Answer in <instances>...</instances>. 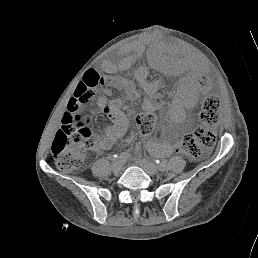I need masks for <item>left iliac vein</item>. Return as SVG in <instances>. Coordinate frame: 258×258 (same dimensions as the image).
Listing matches in <instances>:
<instances>
[{"label":"left iliac vein","instance_id":"obj_1","mask_svg":"<svg viewBox=\"0 0 258 258\" xmlns=\"http://www.w3.org/2000/svg\"><path fill=\"white\" fill-rule=\"evenodd\" d=\"M138 164L149 175H155L158 173V167L147 159L139 160Z\"/></svg>","mask_w":258,"mask_h":258}]
</instances>
